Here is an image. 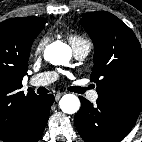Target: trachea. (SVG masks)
<instances>
[{"mask_svg": "<svg viewBox=\"0 0 142 142\" xmlns=\"http://www.w3.org/2000/svg\"><path fill=\"white\" fill-rule=\"evenodd\" d=\"M87 89H88V88H84V87H75L74 92L79 93V94H82V93H84ZM37 93H38V94H45V93H48V90L45 89V88H43V87H41V88H39V89L37 90Z\"/></svg>", "mask_w": 142, "mask_h": 142, "instance_id": "obj_1", "label": "trachea"}]
</instances>
